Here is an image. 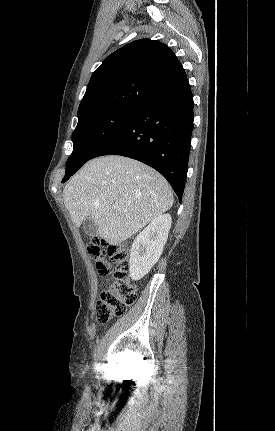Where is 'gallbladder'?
<instances>
[{"label":"gallbladder","instance_id":"1","mask_svg":"<svg viewBox=\"0 0 275 431\" xmlns=\"http://www.w3.org/2000/svg\"><path fill=\"white\" fill-rule=\"evenodd\" d=\"M83 229L91 237L98 235V230L91 216L86 217L83 221Z\"/></svg>","mask_w":275,"mask_h":431}]
</instances>
